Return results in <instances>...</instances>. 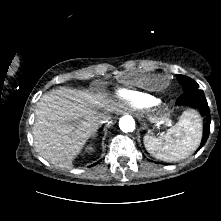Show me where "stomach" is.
I'll use <instances>...</instances> for the list:
<instances>
[{
  "label": "stomach",
  "mask_w": 221,
  "mask_h": 221,
  "mask_svg": "<svg viewBox=\"0 0 221 221\" xmlns=\"http://www.w3.org/2000/svg\"><path fill=\"white\" fill-rule=\"evenodd\" d=\"M126 87H142L146 90L161 91L169 84L167 73L161 68H154L148 72H126L121 77Z\"/></svg>",
  "instance_id": "obj_1"
}]
</instances>
